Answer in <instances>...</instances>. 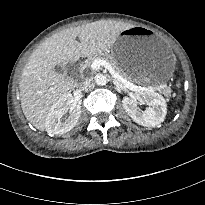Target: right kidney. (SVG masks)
I'll list each match as a JSON object with an SVG mask.
<instances>
[{"instance_id": "obj_1", "label": "right kidney", "mask_w": 205, "mask_h": 205, "mask_svg": "<svg viewBox=\"0 0 205 205\" xmlns=\"http://www.w3.org/2000/svg\"><path fill=\"white\" fill-rule=\"evenodd\" d=\"M72 101V95L66 93L53 104L46 118V131L49 134L62 135L76 126L81 106ZM67 112L69 116L64 117Z\"/></svg>"}]
</instances>
